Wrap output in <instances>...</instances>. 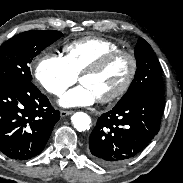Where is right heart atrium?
I'll use <instances>...</instances> for the list:
<instances>
[{"mask_svg":"<svg viewBox=\"0 0 183 183\" xmlns=\"http://www.w3.org/2000/svg\"><path fill=\"white\" fill-rule=\"evenodd\" d=\"M35 77L45 91L58 97L77 81L64 57L53 53H43L38 57Z\"/></svg>","mask_w":183,"mask_h":183,"instance_id":"d8ad5b80","label":"right heart atrium"}]
</instances>
